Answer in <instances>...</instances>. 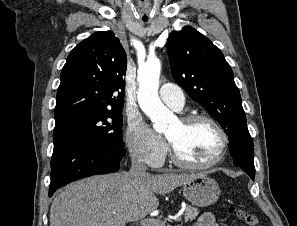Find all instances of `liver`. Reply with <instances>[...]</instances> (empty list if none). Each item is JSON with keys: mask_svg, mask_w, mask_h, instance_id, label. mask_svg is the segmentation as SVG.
<instances>
[{"mask_svg": "<svg viewBox=\"0 0 297 226\" xmlns=\"http://www.w3.org/2000/svg\"><path fill=\"white\" fill-rule=\"evenodd\" d=\"M198 174L97 175L68 185L53 200L50 226H125L157 209L166 194Z\"/></svg>", "mask_w": 297, "mask_h": 226, "instance_id": "6515ba94", "label": "liver"}]
</instances>
